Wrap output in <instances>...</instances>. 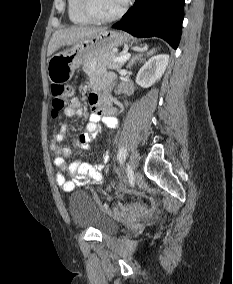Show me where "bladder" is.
<instances>
[{"instance_id":"1","label":"bladder","mask_w":233,"mask_h":284,"mask_svg":"<svg viewBox=\"0 0 233 284\" xmlns=\"http://www.w3.org/2000/svg\"><path fill=\"white\" fill-rule=\"evenodd\" d=\"M68 211L77 228H92L103 235L114 234L119 229L118 223L106 215L86 192L76 191L70 195Z\"/></svg>"}]
</instances>
